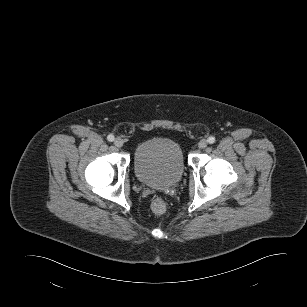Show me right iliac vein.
Returning <instances> with one entry per match:
<instances>
[{"instance_id": "1", "label": "right iliac vein", "mask_w": 307, "mask_h": 307, "mask_svg": "<svg viewBox=\"0 0 307 307\" xmlns=\"http://www.w3.org/2000/svg\"><path fill=\"white\" fill-rule=\"evenodd\" d=\"M114 144L116 147L121 148L123 146V140L120 138H116Z\"/></svg>"}]
</instances>
